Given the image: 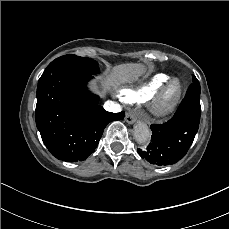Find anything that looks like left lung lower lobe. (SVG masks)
Returning <instances> with one entry per match:
<instances>
[{
	"label": "left lung lower lobe",
	"mask_w": 229,
	"mask_h": 229,
	"mask_svg": "<svg viewBox=\"0 0 229 229\" xmlns=\"http://www.w3.org/2000/svg\"><path fill=\"white\" fill-rule=\"evenodd\" d=\"M193 83L180 103L174 117L164 124L151 125V143L139 155L158 166L174 164L184 157L199 128L201 115L200 84L192 76Z\"/></svg>",
	"instance_id": "obj_1"
}]
</instances>
